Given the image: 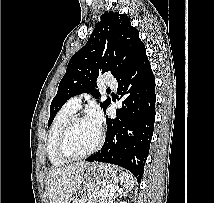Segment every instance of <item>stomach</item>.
I'll list each match as a JSON object with an SVG mask.
<instances>
[{
    "instance_id": "0dacf381",
    "label": "stomach",
    "mask_w": 214,
    "mask_h": 203,
    "mask_svg": "<svg viewBox=\"0 0 214 203\" xmlns=\"http://www.w3.org/2000/svg\"><path fill=\"white\" fill-rule=\"evenodd\" d=\"M116 179L117 171L114 167L106 164H92L84 170L82 189L88 193L98 189L111 190L115 187Z\"/></svg>"
}]
</instances>
